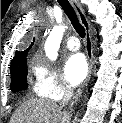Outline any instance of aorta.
<instances>
[{"label":"aorta","mask_w":122,"mask_h":123,"mask_svg":"<svg viewBox=\"0 0 122 123\" xmlns=\"http://www.w3.org/2000/svg\"><path fill=\"white\" fill-rule=\"evenodd\" d=\"M64 31L65 27L63 25L55 26L50 37L47 39L45 43V53L50 60H56L58 56V50Z\"/></svg>","instance_id":"aorta-1"}]
</instances>
